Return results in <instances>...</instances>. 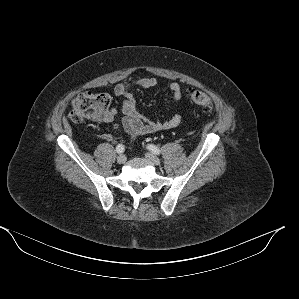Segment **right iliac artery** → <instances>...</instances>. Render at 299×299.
<instances>
[{
	"instance_id": "1",
	"label": "right iliac artery",
	"mask_w": 299,
	"mask_h": 299,
	"mask_svg": "<svg viewBox=\"0 0 299 299\" xmlns=\"http://www.w3.org/2000/svg\"><path fill=\"white\" fill-rule=\"evenodd\" d=\"M124 150H125V148H124V145H122V144H118L117 146H116V151H117V153H123L124 152Z\"/></svg>"
}]
</instances>
